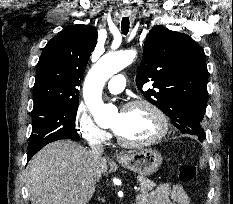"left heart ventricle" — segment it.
I'll list each match as a JSON object with an SVG mask.
<instances>
[{
  "label": "left heart ventricle",
  "instance_id": "1",
  "mask_svg": "<svg viewBox=\"0 0 233 204\" xmlns=\"http://www.w3.org/2000/svg\"><path fill=\"white\" fill-rule=\"evenodd\" d=\"M112 129L130 141H143L154 136L160 129L157 117L146 107L138 106L116 113Z\"/></svg>",
  "mask_w": 233,
  "mask_h": 204
}]
</instances>
